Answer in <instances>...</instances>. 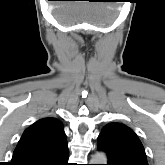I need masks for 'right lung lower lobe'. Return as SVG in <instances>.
Listing matches in <instances>:
<instances>
[{
  "instance_id": "1",
  "label": "right lung lower lobe",
  "mask_w": 165,
  "mask_h": 165,
  "mask_svg": "<svg viewBox=\"0 0 165 165\" xmlns=\"http://www.w3.org/2000/svg\"><path fill=\"white\" fill-rule=\"evenodd\" d=\"M68 157V146L65 140L54 147L53 151L48 156L33 165H69Z\"/></svg>"
}]
</instances>
